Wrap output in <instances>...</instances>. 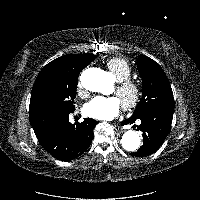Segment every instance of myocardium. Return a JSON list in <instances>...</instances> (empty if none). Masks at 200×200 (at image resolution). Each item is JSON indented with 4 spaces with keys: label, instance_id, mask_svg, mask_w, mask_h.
<instances>
[{
    "label": "myocardium",
    "instance_id": "f54148a6",
    "mask_svg": "<svg viewBox=\"0 0 200 200\" xmlns=\"http://www.w3.org/2000/svg\"><path fill=\"white\" fill-rule=\"evenodd\" d=\"M116 94L121 99L122 105L126 110L134 109L142 97L141 85L132 79H126L118 82Z\"/></svg>",
    "mask_w": 200,
    "mask_h": 200
}]
</instances>
